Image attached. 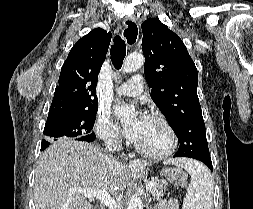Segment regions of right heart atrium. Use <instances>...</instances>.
<instances>
[{"label":"right heart atrium","mask_w":253,"mask_h":209,"mask_svg":"<svg viewBox=\"0 0 253 209\" xmlns=\"http://www.w3.org/2000/svg\"><path fill=\"white\" fill-rule=\"evenodd\" d=\"M95 130L97 136L108 144H116L121 139L117 128L103 112L99 113L96 118Z\"/></svg>","instance_id":"1"}]
</instances>
